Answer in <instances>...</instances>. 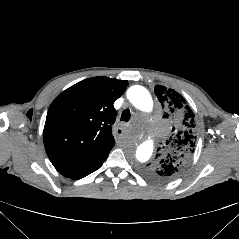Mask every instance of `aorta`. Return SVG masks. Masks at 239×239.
Wrapping results in <instances>:
<instances>
[{
	"mask_svg": "<svg viewBox=\"0 0 239 239\" xmlns=\"http://www.w3.org/2000/svg\"><path fill=\"white\" fill-rule=\"evenodd\" d=\"M127 98L140 111L150 112L153 106L152 98L149 92L142 86H132L127 91ZM155 137L152 134H145L142 137V143H138L136 148V160L142 164L149 160L152 155Z\"/></svg>",
	"mask_w": 239,
	"mask_h": 239,
	"instance_id": "1",
	"label": "aorta"
}]
</instances>
